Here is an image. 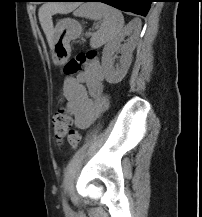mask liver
<instances>
[{
	"label": "liver",
	"instance_id": "6515ba94",
	"mask_svg": "<svg viewBox=\"0 0 202 217\" xmlns=\"http://www.w3.org/2000/svg\"><path fill=\"white\" fill-rule=\"evenodd\" d=\"M77 6L78 4H74V3L73 4L48 3L40 7L38 12L39 21L51 49L53 46V36H54L52 15L57 13L68 14L72 12Z\"/></svg>",
	"mask_w": 202,
	"mask_h": 217
}]
</instances>
